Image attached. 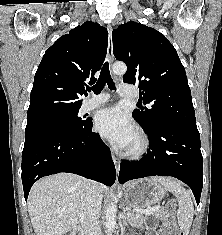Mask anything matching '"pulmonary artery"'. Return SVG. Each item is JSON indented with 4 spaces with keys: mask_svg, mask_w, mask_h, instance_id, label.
Listing matches in <instances>:
<instances>
[{
    "mask_svg": "<svg viewBox=\"0 0 222 235\" xmlns=\"http://www.w3.org/2000/svg\"><path fill=\"white\" fill-rule=\"evenodd\" d=\"M118 93L122 97H128V98H137L138 97L137 90L126 85V84L119 85ZM108 99H109V95L105 94V93L90 96L89 98H87L84 101L81 109L83 112L89 111L93 108H96V107L104 104L105 102L108 101Z\"/></svg>",
    "mask_w": 222,
    "mask_h": 235,
    "instance_id": "e3ab8cb5",
    "label": "pulmonary artery"
}]
</instances>
